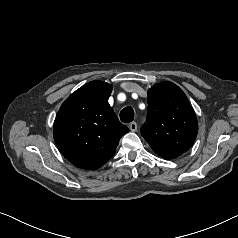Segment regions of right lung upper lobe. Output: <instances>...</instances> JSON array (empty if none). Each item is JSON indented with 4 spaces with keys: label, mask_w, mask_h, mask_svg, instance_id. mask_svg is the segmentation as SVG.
<instances>
[{
    "label": "right lung upper lobe",
    "mask_w": 238,
    "mask_h": 238,
    "mask_svg": "<svg viewBox=\"0 0 238 238\" xmlns=\"http://www.w3.org/2000/svg\"><path fill=\"white\" fill-rule=\"evenodd\" d=\"M111 91L110 84L91 81L71 94L57 113L54 140L63 156L79 168H100L129 131L108 103Z\"/></svg>",
    "instance_id": "obj_1"
}]
</instances>
